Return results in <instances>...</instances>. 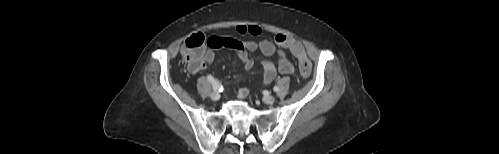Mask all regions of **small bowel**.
<instances>
[{"label":"small bowel","instance_id":"c3829d8e","mask_svg":"<svg viewBox=\"0 0 499 154\" xmlns=\"http://www.w3.org/2000/svg\"><path fill=\"white\" fill-rule=\"evenodd\" d=\"M236 30L241 35L249 34L252 36H258L261 32L259 27L254 25H239ZM220 48H227L235 51L240 58L244 69L246 70L252 69L254 64L253 60L248 55L249 52L260 51L266 57H276L277 63L270 60H266L263 63L264 75L262 83L264 85L272 82L278 72L284 75L294 72V65L289 59L286 51L280 47H277L269 40L261 39L259 41H241L236 38L219 36H213L208 39V49L205 53L203 62L198 67H189V71L195 74L210 64L214 59L215 51ZM247 95L248 90L246 88L242 87L238 89L237 97L239 99H244Z\"/></svg>","mask_w":499,"mask_h":154}]
</instances>
